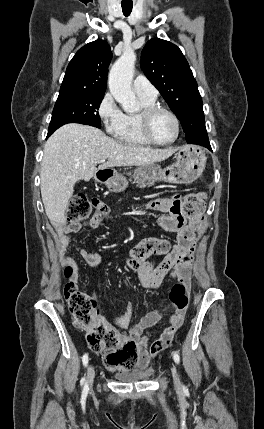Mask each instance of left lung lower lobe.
<instances>
[{
    "label": "left lung lower lobe",
    "instance_id": "1",
    "mask_svg": "<svg viewBox=\"0 0 264 429\" xmlns=\"http://www.w3.org/2000/svg\"><path fill=\"white\" fill-rule=\"evenodd\" d=\"M202 146H204V147H206V148H208L209 150H211L212 151V149H211V146H210V143L208 142V143H202L201 144Z\"/></svg>",
    "mask_w": 264,
    "mask_h": 429
}]
</instances>
